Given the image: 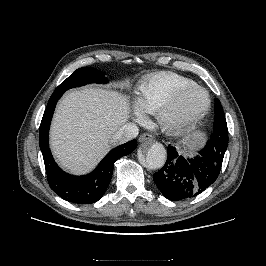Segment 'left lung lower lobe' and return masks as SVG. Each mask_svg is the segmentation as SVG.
I'll return each mask as SVG.
<instances>
[{"label":"left lung lower lobe","instance_id":"obj_1","mask_svg":"<svg viewBox=\"0 0 266 266\" xmlns=\"http://www.w3.org/2000/svg\"><path fill=\"white\" fill-rule=\"evenodd\" d=\"M228 140L216 138L194 158H185L173 146H168L165 165L153 175L160 192L169 200L193 198L217 179Z\"/></svg>","mask_w":266,"mask_h":266}]
</instances>
